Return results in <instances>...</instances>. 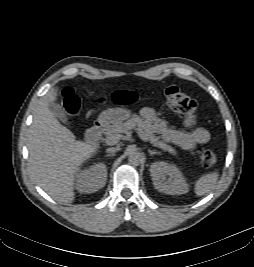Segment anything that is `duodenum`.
Segmentation results:
<instances>
[{
    "label": "duodenum",
    "instance_id": "410a0bca",
    "mask_svg": "<svg viewBox=\"0 0 254 267\" xmlns=\"http://www.w3.org/2000/svg\"><path fill=\"white\" fill-rule=\"evenodd\" d=\"M104 131V125L102 123H95L86 131V141L91 145H96Z\"/></svg>",
    "mask_w": 254,
    "mask_h": 267
}]
</instances>
